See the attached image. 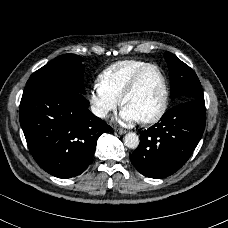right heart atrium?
<instances>
[{
	"mask_svg": "<svg viewBox=\"0 0 228 228\" xmlns=\"http://www.w3.org/2000/svg\"><path fill=\"white\" fill-rule=\"evenodd\" d=\"M88 100L92 111L99 118H105L119 105V100L105 92L96 81L91 86Z\"/></svg>",
	"mask_w": 228,
	"mask_h": 228,
	"instance_id": "obj_1",
	"label": "right heart atrium"
}]
</instances>
